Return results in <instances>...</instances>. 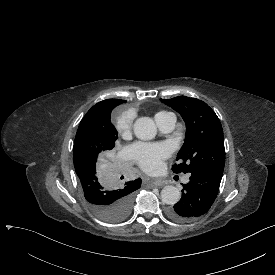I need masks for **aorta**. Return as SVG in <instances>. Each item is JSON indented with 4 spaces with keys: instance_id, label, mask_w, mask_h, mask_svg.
<instances>
[{
    "instance_id": "aorta-1",
    "label": "aorta",
    "mask_w": 275,
    "mask_h": 275,
    "mask_svg": "<svg viewBox=\"0 0 275 275\" xmlns=\"http://www.w3.org/2000/svg\"><path fill=\"white\" fill-rule=\"evenodd\" d=\"M134 133L141 140H152L157 135V126L149 117H141L134 124ZM161 198L165 204L173 205L181 198L180 190L172 185L165 186L161 191Z\"/></svg>"
}]
</instances>
